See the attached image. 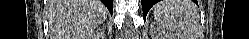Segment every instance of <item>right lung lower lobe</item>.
<instances>
[{
    "instance_id": "98d812e1",
    "label": "right lung lower lobe",
    "mask_w": 249,
    "mask_h": 39,
    "mask_svg": "<svg viewBox=\"0 0 249 39\" xmlns=\"http://www.w3.org/2000/svg\"><path fill=\"white\" fill-rule=\"evenodd\" d=\"M104 5L108 8L109 12L112 14L113 12V0H101Z\"/></svg>"
}]
</instances>
